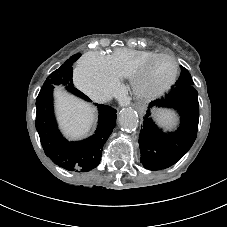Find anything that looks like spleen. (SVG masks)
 I'll list each match as a JSON object with an SVG mask.
<instances>
[{
  "instance_id": "obj_1",
  "label": "spleen",
  "mask_w": 227,
  "mask_h": 227,
  "mask_svg": "<svg viewBox=\"0 0 227 227\" xmlns=\"http://www.w3.org/2000/svg\"><path fill=\"white\" fill-rule=\"evenodd\" d=\"M156 121L162 127L169 128L173 125V119L170 113L167 112H156L154 114Z\"/></svg>"
}]
</instances>
